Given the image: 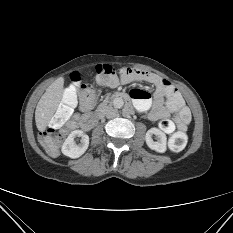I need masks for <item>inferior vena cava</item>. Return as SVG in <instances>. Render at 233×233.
Here are the masks:
<instances>
[{
    "instance_id": "1",
    "label": "inferior vena cava",
    "mask_w": 233,
    "mask_h": 233,
    "mask_svg": "<svg viewBox=\"0 0 233 233\" xmlns=\"http://www.w3.org/2000/svg\"><path fill=\"white\" fill-rule=\"evenodd\" d=\"M105 116L108 119L116 117L117 116L116 110L113 107L109 106L105 111Z\"/></svg>"
}]
</instances>
